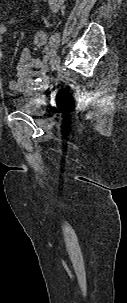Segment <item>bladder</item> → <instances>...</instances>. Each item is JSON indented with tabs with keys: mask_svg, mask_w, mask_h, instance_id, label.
Masks as SVG:
<instances>
[{
	"mask_svg": "<svg viewBox=\"0 0 127 303\" xmlns=\"http://www.w3.org/2000/svg\"><path fill=\"white\" fill-rule=\"evenodd\" d=\"M10 102L16 110L33 116H41L44 112L45 102L32 93L15 96Z\"/></svg>",
	"mask_w": 127,
	"mask_h": 303,
	"instance_id": "obj_1",
	"label": "bladder"
}]
</instances>
